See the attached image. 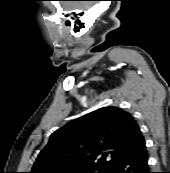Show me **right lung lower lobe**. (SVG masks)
Returning a JSON list of instances; mask_svg holds the SVG:
<instances>
[{
  "label": "right lung lower lobe",
  "mask_w": 170,
  "mask_h": 173,
  "mask_svg": "<svg viewBox=\"0 0 170 173\" xmlns=\"http://www.w3.org/2000/svg\"><path fill=\"white\" fill-rule=\"evenodd\" d=\"M105 173H150L146 146L119 158L106 168Z\"/></svg>",
  "instance_id": "98d812e1"
}]
</instances>
